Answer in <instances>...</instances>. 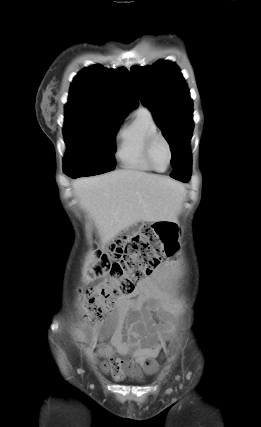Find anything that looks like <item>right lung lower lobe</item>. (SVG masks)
Instances as JSON below:
<instances>
[{"instance_id":"98d812e1","label":"right lung lower lobe","mask_w":261,"mask_h":427,"mask_svg":"<svg viewBox=\"0 0 261 427\" xmlns=\"http://www.w3.org/2000/svg\"><path fill=\"white\" fill-rule=\"evenodd\" d=\"M71 178H78L77 176H70Z\"/></svg>"}]
</instances>
